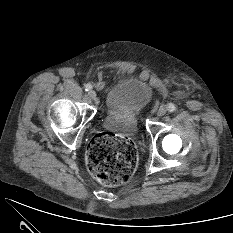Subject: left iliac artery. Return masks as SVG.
<instances>
[{"label":"left iliac artery","mask_w":233,"mask_h":233,"mask_svg":"<svg viewBox=\"0 0 233 233\" xmlns=\"http://www.w3.org/2000/svg\"><path fill=\"white\" fill-rule=\"evenodd\" d=\"M167 109H168L169 112H173V111L176 110V107H175V105L173 103H169L167 105Z\"/></svg>","instance_id":"44dca946"}]
</instances>
